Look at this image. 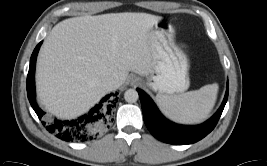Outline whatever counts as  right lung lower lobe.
Segmentation results:
<instances>
[{"mask_svg":"<svg viewBox=\"0 0 267 166\" xmlns=\"http://www.w3.org/2000/svg\"><path fill=\"white\" fill-rule=\"evenodd\" d=\"M42 42L34 49L31 59L29 72L27 76V95L29 102L36 112L39 119H43L46 129L57 138L66 142H85L92 140L112 119L113 111L118 98L116 94H108L96 104L88 113L73 120H59L44 116L43 112L37 105L35 100V64L37 54Z\"/></svg>","mask_w":267,"mask_h":166,"instance_id":"right-lung-lower-lobe-1","label":"right lung lower lobe"}]
</instances>
